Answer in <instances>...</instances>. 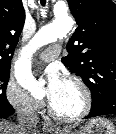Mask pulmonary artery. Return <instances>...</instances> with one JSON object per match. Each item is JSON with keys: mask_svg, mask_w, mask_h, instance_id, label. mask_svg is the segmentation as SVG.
<instances>
[{"mask_svg": "<svg viewBox=\"0 0 116 134\" xmlns=\"http://www.w3.org/2000/svg\"><path fill=\"white\" fill-rule=\"evenodd\" d=\"M61 47L54 45L40 53V59L44 62H50L54 60L60 53Z\"/></svg>", "mask_w": 116, "mask_h": 134, "instance_id": "e3ab8cb5", "label": "pulmonary artery"}]
</instances>
